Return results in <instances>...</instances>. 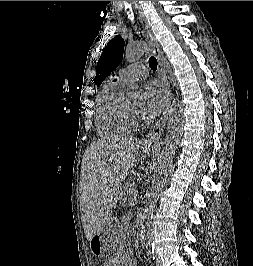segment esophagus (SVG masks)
<instances>
[{"mask_svg":"<svg viewBox=\"0 0 253 266\" xmlns=\"http://www.w3.org/2000/svg\"><path fill=\"white\" fill-rule=\"evenodd\" d=\"M134 10L136 12L137 18L141 24V27L143 29V32L149 42L150 48H151V53L156 56L157 62H158V75L164 85L165 91H166V105L165 109L163 111V114L159 118V120L156 122V124L153 126V128L149 131V133L146 135L144 139L145 144H151L154 142H157L160 140L161 136L163 135L164 129L166 127L169 111H170V106L172 102V90L170 86V82L167 78L164 65H163V60L161 57L160 49H159V44L152 32V29L141 9L137 1H132Z\"/></svg>","mask_w":253,"mask_h":266,"instance_id":"34e87169","label":"esophagus"}]
</instances>
